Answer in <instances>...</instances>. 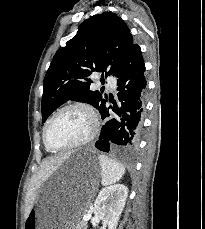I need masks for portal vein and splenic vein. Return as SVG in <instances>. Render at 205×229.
<instances>
[{"label": "portal vein and splenic vein", "instance_id": "1", "mask_svg": "<svg viewBox=\"0 0 205 229\" xmlns=\"http://www.w3.org/2000/svg\"><path fill=\"white\" fill-rule=\"evenodd\" d=\"M88 218H89L88 215H85V216L83 217L84 220H86V219H88Z\"/></svg>", "mask_w": 205, "mask_h": 229}]
</instances>
